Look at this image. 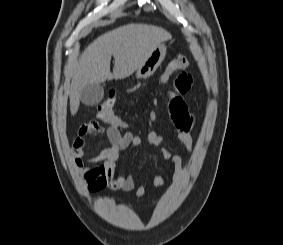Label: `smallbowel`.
Instances as JSON below:
<instances>
[{
  "label": "small bowel",
  "mask_w": 283,
  "mask_h": 245,
  "mask_svg": "<svg viewBox=\"0 0 283 245\" xmlns=\"http://www.w3.org/2000/svg\"><path fill=\"white\" fill-rule=\"evenodd\" d=\"M193 84L192 77L187 72L180 73L173 83V90L170 93L168 109L173 124L176 138L181 142L188 152L193 150V138L191 130L195 123V116L190 113L183 100V95L189 92ZM102 132L108 140V144L101 150L100 154L90 160H85V137L90 133ZM148 144L159 150L161 156L170 161V173L167 176L153 175L151 182L154 186L160 187L168 181L178 182L183 175V161L178 155H174L164 146L165 136L156 131L149 132ZM142 138L131 131L121 134L119 127L107 125L103 127L99 121L91 120L82 124L75 138L71 155L75 167L82 176L84 183L90 192L96 193L105 188L134 192L137 196L144 195L146 184L136 186L133 175H120L114 177L116 162L120 152L139 146Z\"/></svg>",
  "instance_id": "small-bowel-1"
}]
</instances>
